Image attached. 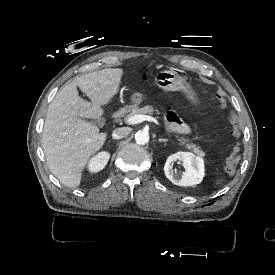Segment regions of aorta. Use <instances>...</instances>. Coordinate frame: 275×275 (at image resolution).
<instances>
[{"label": "aorta", "mask_w": 275, "mask_h": 275, "mask_svg": "<svg viewBox=\"0 0 275 275\" xmlns=\"http://www.w3.org/2000/svg\"><path fill=\"white\" fill-rule=\"evenodd\" d=\"M135 141L139 145H145L149 142V133L146 131L137 132L135 135Z\"/></svg>", "instance_id": "1"}]
</instances>
